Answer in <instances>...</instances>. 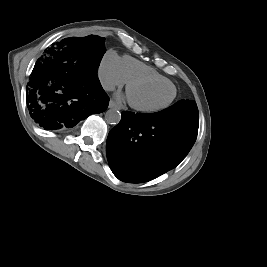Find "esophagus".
<instances>
[{"instance_id": "1", "label": "esophagus", "mask_w": 267, "mask_h": 267, "mask_svg": "<svg viewBox=\"0 0 267 267\" xmlns=\"http://www.w3.org/2000/svg\"><path fill=\"white\" fill-rule=\"evenodd\" d=\"M109 108H115V109H120V106H118L115 101L110 100L109 102Z\"/></svg>"}]
</instances>
